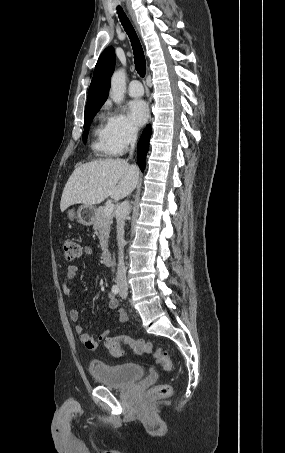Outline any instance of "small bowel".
<instances>
[{"label": "small bowel", "mask_w": 285, "mask_h": 453, "mask_svg": "<svg viewBox=\"0 0 285 453\" xmlns=\"http://www.w3.org/2000/svg\"><path fill=\"white\" fill-rule=\"evenodd\" d=\"M82 253L85 255H91L93 253V250L90 246H84L82 248ZM77 274V267L75 265H70L67 269L66 277L62 281V289L63 292L67 295L70 296L72 295V283ZM108 306L110 309H117V320L121 323L126 322L127 320V314L126 312L118 308V301L115 298L114 295L109 294L108 296ZM69 318L73 322H77L79 320V312L77 309H70L69 311ZM75 332L79 336L80 341L84 344V346L91 351H94L98 349L99 344L102 340L107 338L110 334V329H105L101 334L98 336V338H94L87 332H85L84 327L81 324H77L75 326Z\"/></svg>", "instance_id": "small-bowel-1"}]
</instances>
